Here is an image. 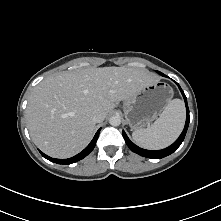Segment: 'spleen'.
<instances>
[{
	"instance_id": "spleen-1",
	"label": "spleen",
	"mask_w": 221,
	"mask_h": 221,
	"mask_svg": "<svg viewBox=\"0 0 221 221\" xmlns=\"http://www.w3.org/2000/svg\"><path fill=\"white\" fill-rule=\"evenodd\" d=\"M185 122V106L181 99L171 100L160 117L147 128L135 130L132 137L137 145L157 150L169 146L181 133Z\"/></svg>"
}]
</instances>
